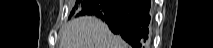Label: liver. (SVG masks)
<instances>
[{
  "instance_id": "liver-1",
  "label": "liver",
  "mask_w": 213,
  "mask_h": 48,
  "mask_svg": "<svg viewBox=\"0 0 213 48\" xmlns=\"http://www.w3.org/2000/svg\"><path fill=\"white\" fill-rule=\"evenodd\" d=\"M59 48H128L121 37L93 16L72 19L62 30Z\"/></svg>"
}]
</instances>
